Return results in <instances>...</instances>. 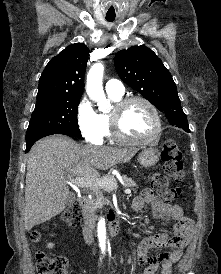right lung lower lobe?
Returning a JSON list of instances; mask_svg holds the SVG:
<instances>
[{
    "instance_id": "right-lung-lower-lobe-1",
    "label": "right lung lower lobe",
    "mask_w": 221,
    "mask_h": 274,
    "mask_svg": "<svg viewBox=\"0 0 221 274\" xmlns=\"http://www.w3.org/2000/svg\"><path fill=\"white\" fill-rule=\"evenodd\" d=\"M52 134H64V135H68V136H70V137H75V136H72V135H69V134H65V133H51V134L42 135V136H40V137H38V138H35V139H33V140L27 142V145H26V152H28V151L30 150V148L32 147V145H33L37 140H39V139L42 138V137H45V136H48V135H52ZM77 138H78V137H77Z\"/></svg>"
}]
</instances>
